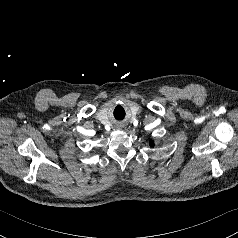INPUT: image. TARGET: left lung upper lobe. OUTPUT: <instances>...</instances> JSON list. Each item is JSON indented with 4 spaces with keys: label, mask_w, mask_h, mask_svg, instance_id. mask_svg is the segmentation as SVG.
I'll return each instance as SVG.
<instances>
[{
    "label": "left lung upper lobe",
    "mask_w": 238,
    "mask_h": 238,
    "mask_svg": "<svg viewBox=\"0 0 238 238\" xmlns=\"http://www.w3.org/2000/svg\"><path fill=\"white\" fill-rule=\"evenodd\" d=\"M154 145L153 141L150 142V146L152 147Z\"/></svg>",
    "instance_id": "left-lung-upper-lobe-1"
}]
</instances>
